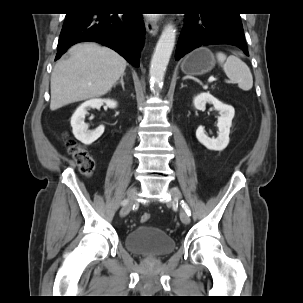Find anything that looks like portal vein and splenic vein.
Masks as SVG:
<instances>
[{"instance_id": "obj_1", "label": "portal vein and splenic vein", "mask_w": 303, "mask_h": 303, "mask_svg": "<svg viewBox=\"0 0 303 303\" xmlns=\"http://www.w3.org/2000/svg\"><path fill=\"white\" fill-rule=\"evenodd\" d=\"M208 81H209V82L216 81V78H214L213 76H211V77H209Z\"/></svg>"}]
</instances>
